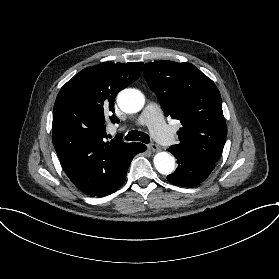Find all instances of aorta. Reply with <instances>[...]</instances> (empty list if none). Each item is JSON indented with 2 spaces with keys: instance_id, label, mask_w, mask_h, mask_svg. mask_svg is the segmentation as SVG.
<instances>
[{
  "instance_id": "aorta-1",
  "label": "aorta",
  "mask_w": 279,
  "mask_h": 279,
  "mask_svg": "<svg viewBox=\"0 0 279 279\" xmlns=\"http://www.w3.org/2000/svg\"><path fill=\"white\" fill-rule=\"evenodd\" d=\"M119 108L126 113L139 112L144 104V95L137 89L122 90L117 96ZM156 170L163 175H169L175 170V159L168 152H159L153 159Z\"/></svg>"
}]
</instances>
